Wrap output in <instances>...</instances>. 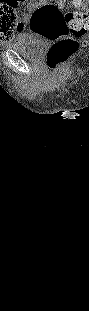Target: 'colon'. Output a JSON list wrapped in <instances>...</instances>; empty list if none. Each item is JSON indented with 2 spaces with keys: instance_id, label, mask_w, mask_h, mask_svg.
Instances as JSON below:
<instances>
[{
  "instance_id": "1",
  "label": "colon",
  "mask_w": 89,
  "mask_h": 311,
  "mask_svg": "<svg viewBox=\"0 0 89 311\" xmlns=\"http://www.w3.org/2000/svg\"><path fill=\"white\" fill-rule=\"evenodd\" d=\"M65 0H49L33 12L30 29L36 35L53 42L46 61L52 70L61 68L78 50L79 38L88 29V0H72L75 11H65ZM19 25V15L14 8L0 13V27L6 38Z\"/></svg>"
}]
</instances>
